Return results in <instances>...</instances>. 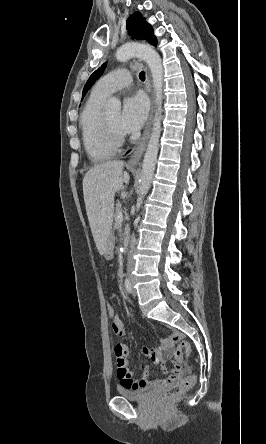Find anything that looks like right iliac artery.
I'll use <instances>...</instances> for the list:
<instances>
[{
    "label": "right iliac artery",
    "mask_w": 266,
    "mask_h": 444,
    "mask_svg": "<svg viewBox=\"0 0 266 444\" xmlns=\"http://www.w3.org/2000/svg\"><path fill=\"white\" fill-rule=\"evenodd\" d=\"M125 288L128 293H132V285L128 278L125 279Z\"/></svg>",
    "instance_id": "right-iliac-artery-1"
}]
</instances>
